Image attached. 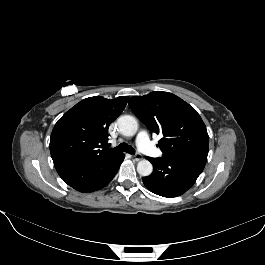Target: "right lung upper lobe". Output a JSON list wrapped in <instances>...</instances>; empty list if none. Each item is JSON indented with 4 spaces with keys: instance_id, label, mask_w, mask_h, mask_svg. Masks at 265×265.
<instances>
[{
    "instance_id": "cb5924a9",
    "label": "right lung upper lobe",
    "mask_w": 265,
    "mask_h": 265,
    "mask_svg": "<svg viewBox=\"0 0 265 265\" xmlns=\"http://www.w3.org/2000/svg\"><path fill=\"white\" fill-rule=\"evenodd\" d=\"M128 97L86 98L67 111L55 124L50 152L55 167L90 159H105L120 152L109 149V125L122 113Z\"/></svg>"
}]
</instances>
